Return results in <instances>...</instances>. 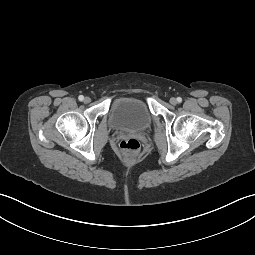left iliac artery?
Returning <instances> with one entry per match:
<instances>
[{
  "mask_svg": "<svg viewBox=\"0 0 255 255\" xmlns=\"http://www.w3.org/2000/svg\"><path fill=\"white\" fill-rule=\"evenodd\" d=\"M177 102L181 103V102H182V98H181V97H178V98H177Z\"/></svg>",
  "mask_w": 255,
  "mask_h": 255,
  "instance_id": "left-iliac-artery-1",
  "label": "left iliac artery"
}]
</instances>
